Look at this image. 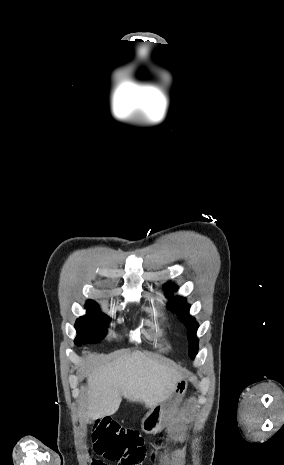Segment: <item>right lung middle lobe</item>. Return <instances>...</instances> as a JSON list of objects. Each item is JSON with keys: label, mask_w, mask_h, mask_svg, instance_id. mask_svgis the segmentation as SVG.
Here are the masks:
<instances>
[{"label": "right lung middle lobe", "mask_w": 284, "mask_h": 465, "mask_svg": "<svg viewBox=\"0 0 284 465\" xmlns=\"http://www.w3.org/2000/svg\"><path fill=\"white\" fill-rule=\"evenodd\" d=\"M85 308L87 315L77 319L75 328L77 330V337L75 343L77 346L87 343H97L106 334L104 325L109 323L110 318L102 314L99 306L92 300H89Z\"/></svg>", "instance_id": "1"}]
</instances>
